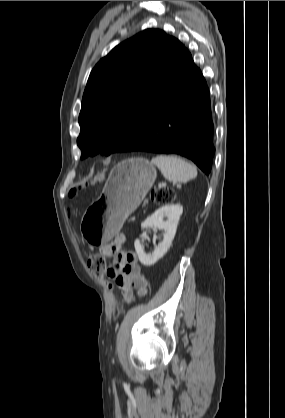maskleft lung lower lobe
Instances as JSON below:
<instances>
[{
    "label": "left lung lower lobe",
    "instance_id": "0a47b994",
    "mask_svg": "<svg viewBox=\"0 0 285 418\" xmlns=\"http://www.w3.org/2000/svg\"><path fill=\"white\" fill-rule=\"evenodd\" d=\"M213 131L209 88L185 48L138 136L124 152L179 154L191 159L208 175L215 153Z\"/></svg>",
    "mask_w": 285,
    "mask_h": 418
}]
</instances>
